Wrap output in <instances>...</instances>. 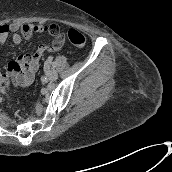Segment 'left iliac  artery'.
<instances>
[{
	"label": "left iliac artery",
	"mask_w": 172,
	"mask_h": 172,
	"mask_svg": "<svg viewBox=\"0 0 172 172\" xmlns=\"http://www.w3.org/2000/svg\"><path fill=\"white\" fill-rule=\"evenodd\" d=\"M52 60H53V57H48V61L50 62V63H52Z\"/></svg>",
	"instance_id": "obj_1"
}]
</instances>
